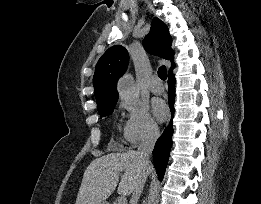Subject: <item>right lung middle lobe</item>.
I'll list each match as a JSON object with an SVG mask.
<instances>
[{
    "mask_svg": "<svg viewBox=\"0 0 261 204\" xmlns=\"http://www.w3.org/2000/svg\"><path fill=\"white\" fill-rule=\"evenodd\" d=\"M117 101L114 102H108L101 105H98V111L100 113V116H106L112 113Z\"/></svg>",
    "mask_w": 261,
    "mask_h": 204,
    "instance_id": "1",
    "label": "right lung middle lobe"
}]
</instances>
